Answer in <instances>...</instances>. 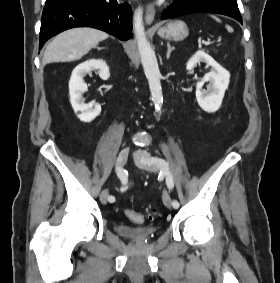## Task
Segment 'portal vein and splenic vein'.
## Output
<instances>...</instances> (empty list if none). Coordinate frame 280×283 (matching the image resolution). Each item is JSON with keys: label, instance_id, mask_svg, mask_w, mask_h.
Wrapping results in <instances>:
<instances>
[{"label": "portal vein and splenic vein", "instance_id": "1", "mask_svg": "<svg viewBox=\"0 0 280 283\" xmlns=\"http://www.w3.org/2000/svg\"><path fill=\"white\" fill-rule=\"evenodd\" d=\"M203 44H205V45H210L211 42H210V40H208V41L203 42Z\"/></svg>", "mask_w": 280, "mask_h": 283}]
</instances>
